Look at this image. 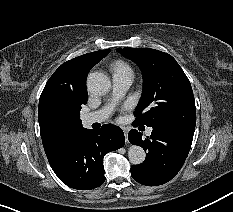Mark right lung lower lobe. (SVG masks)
<instances>
[{
    "label": "right lung lower lobe",
    "mask_w": 233,
    "mask_h": 212,
    "mask_svg": "<svg viewBox=\"0 0 233 212\" xmlns=\"http://www.w3.org/2000/svg\"><path fill=\"white\" fill-rule=\"evenodd\" d=\"M124 144V133L115 125L105 124L99 130L81 127L48 160L55 174L67 186L78 190L93 189L105 181L104 155Z\"/></svg>",
    "instance_id": "right-lung-lower-lobe-1"
}]
</instances>
